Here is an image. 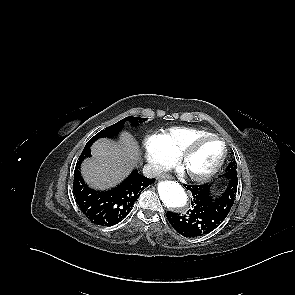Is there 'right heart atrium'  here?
I'll return each mask as SVG.
<instances>
[{
  "label": "right heart atrium",
  "mask_w": 295,
  "mask_h": 295,
  "mask_svg": "<svg viewBox=\"0 0 295 295\" xmlns=\"http://www.w3.org/2000/svg\"><path fill=\"white\" fill-rule=\"evenodd\" d=\"M144 151L145 159L155 174H160L175 162V157L164 148L158 134L146 137Z\"/></svg>",
  "instance_id": "obj_1"
}]
</instances>
